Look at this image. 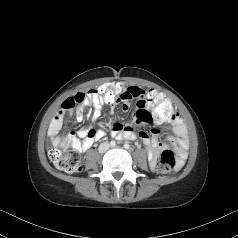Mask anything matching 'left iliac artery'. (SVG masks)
<instances>
[{"instance_id": "1", "label": "left iliac artery", "mask_w": 238, "mask_h": 238, "mask_svg": "<svg viewBox=\"0 0 238 238\" xmlns=\"http://www.w3.org/2000/svg\"><path fill=\"white\" fill-rule=\"evenodd\" d=\"M124 148H125V149H129V148H130L129 144L125 143V144H124Z\"/></svg>"}]
</instances>
